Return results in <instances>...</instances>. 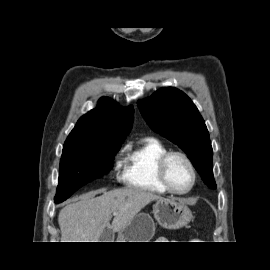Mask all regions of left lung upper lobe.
Returning <instances> with one entry per match:
<instances>
[{"label":"left lung upper lobe","mask_w":270,"mask_h":270,"mask_svg":"<svg viewBox=\"0 0 270 270\" xmlns=\"http://www.w3.org/2000/svg\"><path fill=\"white\" fill-rule=\"evenodd\" d=\"M138 106L151 129L184 150L202 180L215 189L209 133L190 98L176 88L164 87L138 101Z\"/></svg>","instance_id":"1"}]
</instances>
